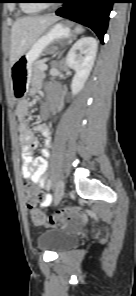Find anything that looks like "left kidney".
Returning a JSON list of instances; mask_svg holds the SVG:
<instances>
[{"label": "left kidney", "mask_w": 136, "mask_h": 296, "mask_svg": "<svg viewBox=\"0 0 136 296\" xmlns=\"http://www.w3.org/2000/svg\"><path fill=\"white\" fill-rule=\"evenodd\" d=\"M98 44L93 37H82L74 43L66 57V64L75 71L71 82V91L77 95L84 87L92 70Z\"/></svg>", "instance_id": "1"}]
</instances>
